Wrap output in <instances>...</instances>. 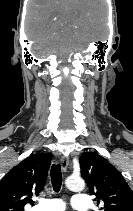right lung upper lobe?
Returning a JSON list of instances; mask_svg holds the SVG:
<instances>
[{"instance_id": "cb5924a9", "label": "right lung upper lobe", "mask_w": 133, "mask_h": 211, "mask_svg": "<svg viewBox=\"0 0 133 211\" xmlns=\"http://www.w3.org/2000/svg\"><path fill=\"white\" fill-rule=\"evenodd\" d=\"M51 154H34L13 167L0 181V211H23L44 188Z\"/></svg>"}]
</instances>
